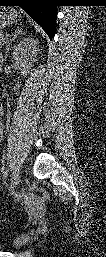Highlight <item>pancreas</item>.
<instances>
[{
	"instance_id": "pancreas-1",
	"label": "pancreas",
	"mask_w": 106,
	"mask_h": 257,
	"mask_svg": "<svg viewBox=\"0 0 106 257\" xmlns=\"http://www.w3.org/2000/svg\"><path fill=\"white\" fill-rule=\"evenodd\" d=\"M6 41H7V38H4L3 35H2L1 40H0L1 45L6 43Z\"/></svg>"
}]
</instances>
